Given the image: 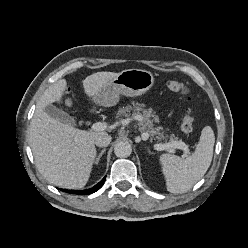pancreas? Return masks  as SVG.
<instances>
[{
  "mask_svg": "<svg viewBox=\"0 0 248 248\" xmlns=\"http://www.w3.org/2000/svg\"><path fill=\"white\" fill-rule=\"evenodd\" d=\"M144 104H140L138 102H133L132 105H127L125 107L119 108L117 112V117L124 116L129 117L132 116L134 119L139 121V124L142 126L141 130L146 131L151 138L158 139V140H166L167 135L164 133L163 128L161 126L154 127V123L159 122V118L153 110L145 109ZM132 112V113H131ZM152 117V119H151ZM173 142H182L181 140L178 141L177 137L172 134L169 137V143Z\"/></svg>",
  "mask_w": 248,
  "mask_h": 248,
  "instance_id": "pancreas-1",
  "label": "pancreas"
}]
</instances>
